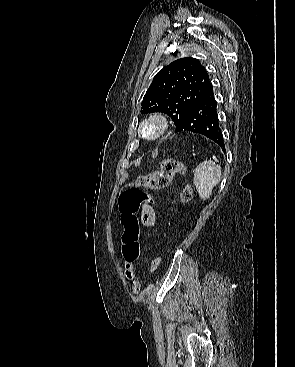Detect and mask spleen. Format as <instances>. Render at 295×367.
<instances>
[{
	"instance_id": "spleen-1",
	"label": "spleen",
	"mask_w": 295,
	"mask_h": 367,
	"mask_svg": "<svg viewBox=\"0 0 295 367\" xmlns=\"http://www.w3.org/2000/svg\"><path fill=\"white\" fill-rule=\"evenodd\" d=\"M217 162V158L213 156V160L203 161L195 169V186L204 201L210 198L213 188L221 180V166Z\"/></svg>"
}]
</instances>
